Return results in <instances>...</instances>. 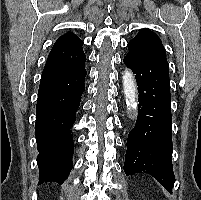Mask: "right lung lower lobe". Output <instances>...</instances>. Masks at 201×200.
<instances>
[{"label":"right lung lower lobe","instance_id":"98d812e1","mask_svg":"<svg viewBox=\"0 0 201 200\" xmlns=\"http://www.w3.org/2000/svg\"><path fill=\"white\" fill-rule=\"evenodd\" d=\"M85 76L83 65L68 76L40 83L35 123L38 184H62L72 169L74 146L70 129L85 89Z\"/></svg>","mask_w":201,"mask_h":200}]
</instances>
